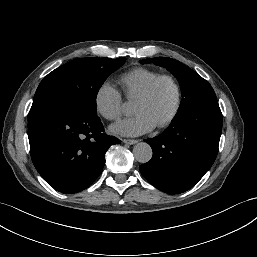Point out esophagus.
<instances>
[{"mask_svg": "<svg viewBox=\"0 0 257 257\" xmlns=\"http://www.w3.org/2000/svg\"><path fill=\"white\" fill-rule=\"evenodd\" d=\"M137 142L138 140H135V139H123V143L129 144V145L136 144Z\"/></svg>", "mask_w": 257, "mask_h": 257, "instance_id": "1", "label": "esophagus"}]
</instances>
